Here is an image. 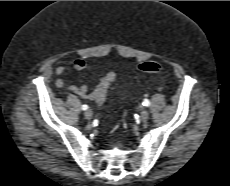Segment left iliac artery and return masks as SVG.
I'll list each match as a JSON object with an SVG mask.
<instances>
[{
    "instance_id": "1",
    "label": "left iliac artery",
    "mask_w": 230,
    "mask_h": 186,
    "mask_svg": "<svg viewBox=\"0 0 230 186\" xmlns=\"http://www.w3.org/2000/svg\"><path fill=\"white\" fill-rule=\"evenodd\" d=\"M143 105L147 107L150 106V101L148 99H144Z\"/></svg>"
}]
</instances>
